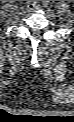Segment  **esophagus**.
<instances>
[{"label":"esophagus","mask_w":74,"mask_h":122,"mask_svg":"<svg viewBox=\"0 0 74 122\" xmlns=\"http://www.w3.org/2000/svg\"><path fill=\"white\" fill-rule=\"evenodd\" d=\"M26 6H27V9L28 10H31V11H34V10H37L38 9V5L34 1H28V3H27Z\"/></svg>","instance_id":"34e87169"}]
</instances>
